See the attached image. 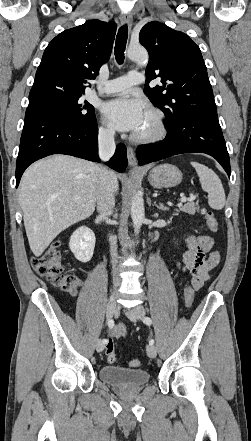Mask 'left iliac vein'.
Listing matches in <instances>:
<instances>
[{
  "instance_id": "1",
  "label": "left iliac vein",
  "mask_w": 251,
  "mask_h": 441,
  "mask_svg": "<svg viewBox=\"0 0 251 441\" xmlns=\"http://www.w3.org/2000/svg\"><path fill=\"white\" fill-rule=\"evenodd\" d=\"M124 313L131 321H136L145 316V310L140 305L129 310H124ZM146 352L150 358H155L157 355V348L154 345L149 344L146 347Z\"/></svg>"
}]
</instances>
